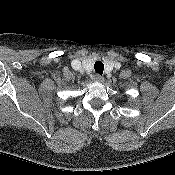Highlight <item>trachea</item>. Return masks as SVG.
<instances>
[{
    "label": "trachea",
    "mask_w": 175,
    "mask_h": 175,
    "mask_svg": "<svg viewBox=\"0 0 175 175\" xmlns=\"http://www.w3.org/2000/svg\"><path fill=\"white\" fill-rule=\"evenodd\" d=\"M94 69L96 73L102 75L103 70H104V64L101 61H97L94 64Z\"/></svg>",
    "instance_id": "obj_1"
}]
</instances>
